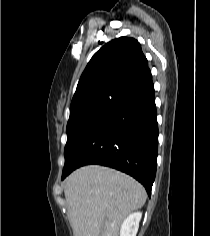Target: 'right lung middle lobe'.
I'll use <instances>...</instances> for the list:
<instances>
[{
  "mask_svg": "<svg viewBox=\"0 0 210 236\" xmlns=\"http://www.w3.org/2000/svg\"><path fill=\"white\" fill-rule=\"evenodd\" d=\"M127 93L128 91L125 89H114L84 100L70 108L67 143L64 150L65 165L68 164L89 131Z\"/></svg>",
  "mask_w": 210,
  "mask_h": 236,
  "instance_id": "right-lung-middle-lobe-1",
  "label": "right lung middle lobe"
}]
</instances>
